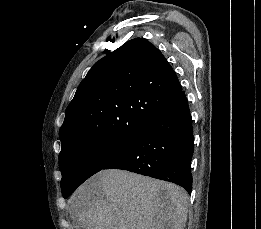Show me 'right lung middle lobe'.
Segmentation results:
<instances>
[{
	"mask_svg": "<svg viewBox=\"0 0 261 229\" xmlns=\"http://www.w3.org/2000/svg\"><path fill=\"white\" fill-rule=\"evenodd\" d=\"M131 141L83 138L62 146L59 166L63 197L67 198L86 179L102 170L126 150Z\"/></svg>",
	"mask_w": 261,
	"mask_h": 229,
	"instance_id": "obj_1",
	"label": "right lung middle lobe"
}]
</instances>
